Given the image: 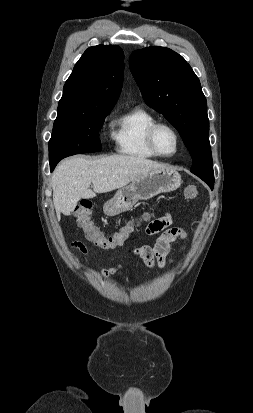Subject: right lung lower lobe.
<instances>
[{
    "label": "right lung lower lobe",
    "instance_id": "1",
    "mask_svg": "<svg viewBox=\"0 0 253 413\" xmlns=\"http://www.w3.org/2000/svg\"><path fill=\"white\" fill-rule=\"evenodd\" d=\"M58 162L50 163V170L53 171Z\"/></svg>",
    "mask_w": 253,
    "mask_h": 413
}]
</instances>
